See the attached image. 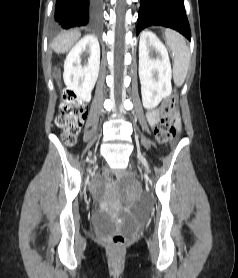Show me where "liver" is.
Returning <instances> with one entry per match:
<instances>
[{"mask_svg":"<svg viewBox=\"0 0 238 278\" xmlns=\"http://www.w3.org/2000/svg\"><path fill=\"white\" fill-rule=\"evenodd\" d=\"M80 37L78 30L62 33L53 40L52 48L58 54L68 52Z\"/></svg>","mask_w":238,"mask_h":278,"instance_id":"6515ba94","label":"liver"}]
</instances>
